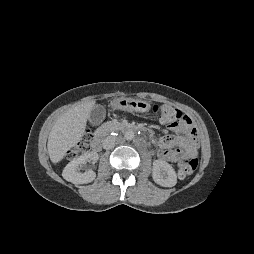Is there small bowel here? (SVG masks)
Returning <instances> with one entry per match:
<instances>
[{
	"mask_svg": "<svg viewBox=\"0 0 254 254\" xmlns=\"http://www.w3.org/2000/svg\"><path fill=\"white\" fill-rule=\"evenodd\" d=\"M181 135H168L158 142L159 157L169 162H177L184 156L195 157L197 155V140L193 133L195 129L188 126L175 127ZM177 147V148H174Z\"/></svg>",
	"mask_w": 254,
	"mask_h": 254,
	"instance_id": "1",
	"label": "small bowel"
}]
</instances>
